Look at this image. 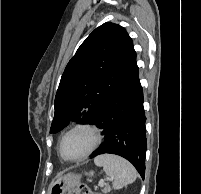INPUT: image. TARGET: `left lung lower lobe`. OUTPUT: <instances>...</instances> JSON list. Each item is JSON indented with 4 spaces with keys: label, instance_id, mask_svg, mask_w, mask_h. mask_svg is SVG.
<instances>
[{
    "label": "left lung lower lobe",
    "instance_id": "left-lung-lower-lobe-1",
    "mask_svg": "<svg viewBox=\"0 0 201 194\" xmlns=\"http://www.w3.org/2000/svg\"><path fill=\"white\" fill-rule=\"evenodd\" d=\"M146 117L143 92L138 76V66L132 65L126 77L97 112L93 121L103 129V144L91 154V158L110 153L124 157L145 176Z\"/></svg>",
    "mask_w": 201,
    "mask_h": 194
}]
</instances>
